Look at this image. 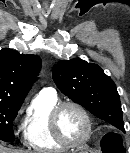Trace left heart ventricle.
<instances>
[{"label": "left heart ventricle", "mask_w": 130, "mask_h": 153, "mask_svg": "<svg viewBox=\"0 0 130 153\" xmlns=\"http://www.w3.org/2000/svg\"><path fill=\"white\" fill-rule=\"evenodd\" d=\"M59 127L66 139L79 142L86 133V121L83 115L74 107H65L59 116Z\"/></svg>", "instance_id": "1"}]
</instances>
